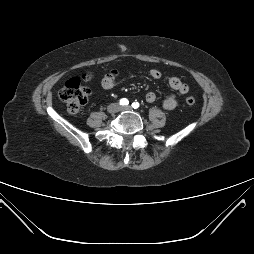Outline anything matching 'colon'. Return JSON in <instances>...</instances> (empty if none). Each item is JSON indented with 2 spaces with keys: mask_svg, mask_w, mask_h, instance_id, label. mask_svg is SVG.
<instances>
[{
  "mask_svg": "<svg viewBox=\"0 0 254 254\" xmlns=\"http://www.w3.org/2000/svg\"><path fill=\"white\" fill-rule=\"evenodd\" d=\"M92 76L90 74H84L81 78L74 77L69 79L60 91V98L65 102L67 111L71 115H77L81 112L82 108L88 102L90 90L83 85V81H90ZM188 105H193L196 99L193 96H188L185 99Z\"/></svg>",
  "mask_w": 254,
  "mask_h": 254,
  "instance_id": "5ec220e1",
  "label": "colon"
}]
</instances>
